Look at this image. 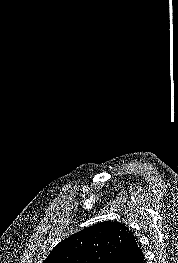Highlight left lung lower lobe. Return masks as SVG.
<instances>
[{
  "label": "left lung lower lobe",
  "mask_w": 178,
  "mask_h": 263,
  "mask_svg": "<svg viewBox=\"0 0 178 263\" xmlns=\"http://www.w3.org/2000/svg\"><path fill=\"white\" fill-rule=\"evenodd\" d=\"M109 263H146L145 257L132 232L117 255Z\"/></svg>",
  "instance_id": "0a47b994"
}]
</instances>
